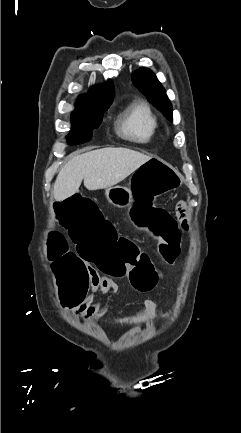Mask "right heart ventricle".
<instances>
[{
    "label": "right heart ventricle",
    "instance_id": "e07e8e85",
    "mask_svg": "<svg viewBox=\"0 0 241 433\" xmlns=\"http://www.w3.org/2000/svg\"><path fill=\"white\" fill-rule=\"evenodd\" d=\"M118 128L124 138L146 144L154 138L158 124L149 105L143 101H136L122 111Z\"/></svg>",
    "mask_w": 241,
    "mask_h": 433
}]
</instances>
